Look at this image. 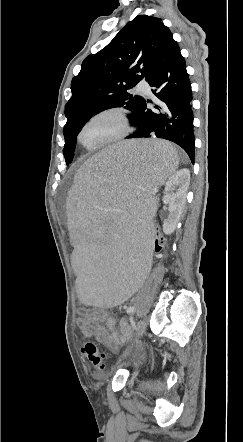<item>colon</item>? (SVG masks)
Here are the masks:
<instances>
[{
	"label": "colon",
	"mask_w": 243,
	"mask_h": 442,
	"mask_svg": "<svg viewBox=\"0 0 243 442\" xmlns=\"http://www.w3.org/2000/svg\"><path fill=\"white\" fill-rule=\"evenodd\" d=\"M149 221L151 225H158L160 220L158 216H151ZM164 231L165 228L162 225L157 226L151 231V234L154 236L152 246L157 254L165 251L166 238L163 235ZM81 351L95 368L99 370L107 369L105 353L98 348L94 341H84L81 345Z\"/></svg>",
	"instance_id": "obj_1"
}]
</instances>
